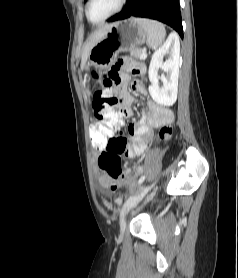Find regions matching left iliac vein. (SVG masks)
I'll return each mask as SVG.
<instances>
[{
	"label": "left iliac vein",
	"instance_id": "1",
	"mask_svg": "<svg viewBox=\"0 0 238 278\" xmlns=\"http://www.w3.org/2000/svg\"><path fill=\"white\" fill-rule=\"evenodd\" d=\"M154 185V184H153ZM152 182H149V185H145V190L144 191H137L136 194L129 200L127 207H126V212H125V216L122 219L121 222V229H120V233L121 236L124 235L125 229H126V215L129 213V211L137 205V203L140 201V199L142 197L147 196L148 191H151L152 188Z\"/></svg>",
	"mask_w": 238,
	"mask_h": 278
}]
</instances>
